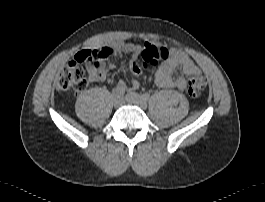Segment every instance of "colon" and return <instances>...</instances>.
I'll use <instances>...</instances> for the list:
<instances>
[{
	"label": "colon",
	"mask_w": 265,
	"mask_h": 202,
	"mask_svg": "<svg viewBox=\"0 0 265 202\" xmlns=\"http://www.w3.org/2000/svg\"><path fill=\"white\" fill-rule=\"evenodd\" d=\"M111 55L109 50L104 48H89L78 52L62 70L58 78V86L62 90L82 91L86 89L87 65L95 64L98 66L100 58ZM170 52L166 48L153 45L146 46L141 55L134 59L132 63V72L139 76L149 65H156L160 60H166ZM206 86V81L200 74H193L188 79V94L193 97H199Z\"/></svg>",
	"instance_id": "1"
}]
</instances>
